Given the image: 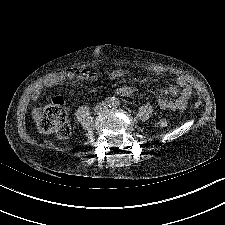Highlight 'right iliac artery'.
Instances as JSON below:
<instances>
[{"instance_id": "1", "label": "right iliac artery", "mask_w": 225, "mask_h": 225, "mask_svg": "<svg viewBox=\"0 0 225 225\" xmlns=\"http://www.w3.org/2000/svg\"><path fill=\"white\" fill-rule=\"evenodd\" d=\"M115 98L114 97H108L105 99L104 103L108 107H112L114 103Z\"/></svg>"}]
</instances>
